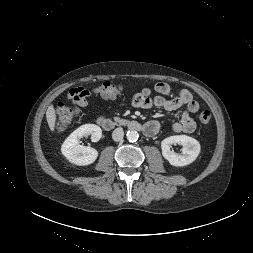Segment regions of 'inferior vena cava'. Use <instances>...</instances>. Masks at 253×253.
<instances>
[{
	"label": "inferior vena cava",
	"mask_w": 253,
	"mask_h": 253,
	"mask_svg": "<svg viewBox=\"0 0 253 253\" xmlns=\"http://www.w3.org/2000/svg\"><path fill=\"white\" fill-rule=\"evenodd\" d=\"M124 136V131L122 128H116L112 133V138L114 141H121Z\"/></svg>",
	"instance_id": "inferior-vena-cava-1"
}]
</instances>
